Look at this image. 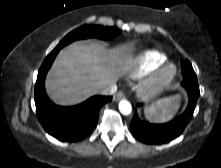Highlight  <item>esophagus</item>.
<instances>
[{
    "label": "esophagus",
    "instance_id": "34e87169",
    "mask_svg": "<svg viewBox=\"0 0 221 168\" xmlns=\"http://www.w3.org/2000/svg\"><path fill=\"white\" fill-rule=\"evenodd\" d=\"M124 98V94L122 92H118L113 96L114 101H119Z\"/></svg>",
    "mask_w": 221,
    "mask_h": 168
}]
</instances>
